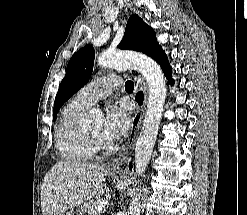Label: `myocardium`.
Listing matches in <instances>:
<instances>
[{"label":"myocardium","mask_w":247,"mask_h":215,"mask_svg":"<svg viewBox=\"0 0 247 215\" xmlns=\"http://www.w3.org/2000/svg\"><path fill=\"white\" fill-rule=\"evenodd\" d=\"M86 133L96 148H98L104 144V139H103L102 135L93 134L89 131H86Z\"/></svg>","instance_id":"1"}]
</instances>
